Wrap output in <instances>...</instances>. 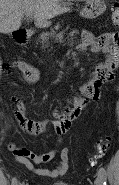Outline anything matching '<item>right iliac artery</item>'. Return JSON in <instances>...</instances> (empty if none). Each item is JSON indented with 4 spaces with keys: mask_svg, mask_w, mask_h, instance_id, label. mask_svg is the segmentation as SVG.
<instances>
[{
    "mask_svg": "<svg viewBox=\"0 0 119 185\" xmlns=\"http://www.w3.org/2000/svg\"><path fill=\"white\" fill-rule=\"evenodd\" d=\"M17 183H18V182H17V179H16V178H13V179H12V184H11V185H17Z\"/></svg>",
    "mask_w": 119,
    "mask_h": 185,
    "instance_id": "obj_1",
    "label": "right iliac artery"
}]
</instances>
